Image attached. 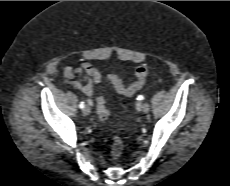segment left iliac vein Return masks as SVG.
Listing matches in <instances>:
<instances>
[{"mask_svg": "<svg viewBox=\"0 0 230 186\" xmlns=\"http://www.w3.org/2000/svg\"><path fill=\"white\" fill-rule=\"evenodd\" d=\"M138 108L144 112L147 113L150 109V105L148 102L138 103Z\"/></svg>", "mask_w": 230, "mask_h": 186, "instance_id": "4c4485c4", "label": "left iliac vein"}]
</instances>
